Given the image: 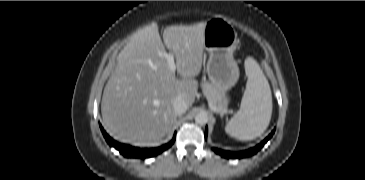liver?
Segmentation results:
<instances>
[{
  "instance_id": "liver-1",
  "label": "liver",
  "mask_w": 365,
  "mask_h": 180,
  "mask_svg": "<svg viewBox=\"0 0 365 180\" xmlns=\"http://www.w3.org/2000/svg\"><path fill=\"white\" fill-rule=\"evenodd\" d=\"M168 26L163 42L157 25L134 33L117 57V67L103 92L101 113L107 132L117 140L138 146L159 142L172 129L177 114L173 100L181 96L188 107L195 101L202 69L204 28ZM174 54L177 74L160 54Z\"/></svg>"
}]
</instances>
